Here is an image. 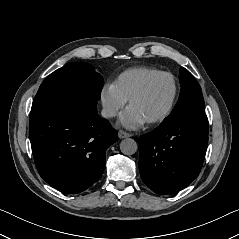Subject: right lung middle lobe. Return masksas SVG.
<instances>
[{
  "label": "right lung middle lobe",
  "mask_w": 239,
  "mask_h": 239,
  "mask_svg": "<svg viewBox=\"0 0 239 239\" xmlns=\"http://www.w3.org/2000/svg\"><path fill=\"white\" fill-rule=\"evenodd\" d=\"M102 87L103 78L91 65L83 62L67 63L43 81L33 100L31 111L65 94H83L99 100Z\"/></svg>",
  "instance_id": "1"
}]
</instances>
